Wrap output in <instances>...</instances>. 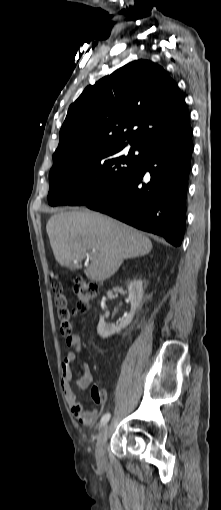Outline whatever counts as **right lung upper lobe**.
<instances>
[{"label":"right lung upper lobe","instance_id":"cb5924a9","mask_svg":"<svg viewBox=\"0 0 221 510\" xmlns=\"http://www.w3.org/2000/svg\"><path fill=\"white\" fill-rule=\"evenodd\" d=\"M185 98L165 70L148 60L128 63L85 88L70 105L53 154L67 156L101 146L141 148L189 127Z\"/></svg>","mask_w":221,"mask_h":510}]
</instances>
